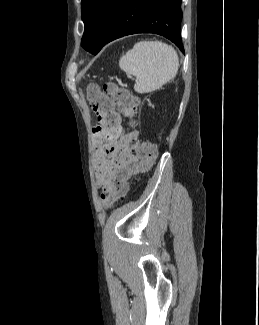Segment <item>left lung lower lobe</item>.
<instances>
[{
  "label": "left lung lower lobe",
  "instance_id": "obj_1",
  "mask_svg": "<svg viewBox=\"0 0 259 325\" xmlns=\"http://www.w3.org/2000/svg\"><path fill=\"white\" fill-rule=\"evenodd\" d=\"M182 0H122L105 34L102 47L135 33H156L184 52L180 30Z\"/></svg>",
  "mask_w": 259,
  "mask_h": 325
}]
</instances>
